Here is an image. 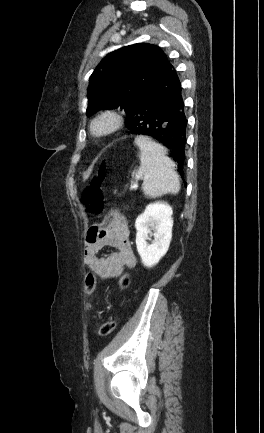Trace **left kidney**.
Wrapping results in <instances>:
<instances>
[{
	"instance_id": "obj_1",
	"label": "left kidney",
	"mask_w": 264,
	"mask_h": 433,
	"mask_svg": "<svg viewBox=\"0 0 264 433\" xmlns=\"http://www.w3.org/2000/svg\"><path fill=\"white\" fill-rule=\"evenodd\" d=\"M172 208L164 202H154L146 206L145 211L140 214L135 222L136 246L142 263L147 268L155 266L167 253L172 238ZM154 241L148 236L151 232Z\"/></svg>"
}]
</instances>
